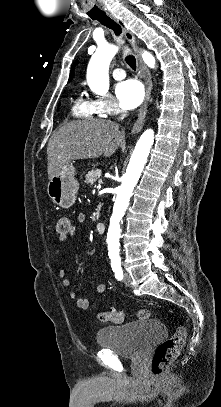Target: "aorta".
Instances as JSON below:
<instances>
[{
	"instance_id": "1",
	"label": "aorta",
	"mask_w": 221,
	"mask_h": 407,
	"mask_svg": "<svg viewBox=\"0 0 221 407\" xmlns=\"http://www.w3.org/2000/svg\"><path fill=\"white\" fill-rule=\"evenodd\" d=\"M117 52V46L102 44L91 57L87 68V82L94 93L104 95L108 92L109 65ZM142 58L150 68L155 67V58L151 53L144 51ZM153 142L154 131L148 129L139 138L126 173L123 175L122 184L118 187L107 233L108 254L111 261H120V222L129 205L133 189L140 178Z\"/></svg>"
}]
</instances>
